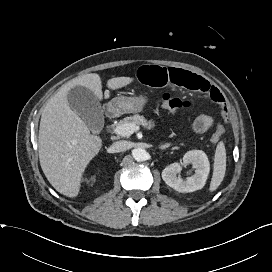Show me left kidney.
<instances>
[{"mask_svg": "<svg viewBox=\"0 0 272 272\" xmlns=\"http://www.w3.org/2000/svg\"><path fill=\"white\" fill-rule=\"evenodd\" d=\"M189 164L195 168V174L183 180L177 174L182 170V166ZM209 171L210 164L207 155L202 150H192L183 156V163H173L167 166L162 172V178L176 191L188 193L204 187Z\"/></svg>", "mask_w": 272, "mask_h": 272, "instance_id": "obj_1", "label": "left kidney"}]
</instances>
